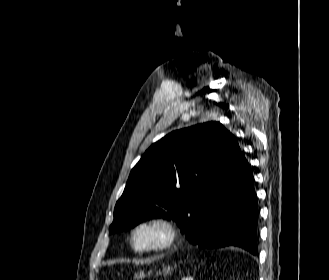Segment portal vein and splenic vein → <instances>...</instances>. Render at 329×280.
<instances>
[{"label": "portal vein and splenic vein", "instance_id": "portal-vein-and-splenic-vein-1", "mask_svg": "<svg viewBox=\"0 0 329 280\" xmlns=\"http://www.w3.org/2000/svg\"><path fill=\"white\" fill-rule=\"evenodd\" d=\"M186 280H192V279L188 278V279H186Z\"/></svg>", "mask_w": 329, "mask_h": 280}]
</instances>
